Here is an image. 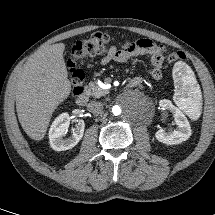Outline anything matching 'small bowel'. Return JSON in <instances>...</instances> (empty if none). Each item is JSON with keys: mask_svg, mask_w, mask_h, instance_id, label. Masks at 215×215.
Here are the masks:
<instances>
[{"mask_svg": "<svg viewBox=\"0 0 215 215\" xmlns=\"http://www.w3.org/2000/svg\"><path fill=\"white\" fill-rule=\"evenodd\" d=\"M149 56L152 64L151 75L153 79L159 81L162 79V66L164 62L163 50L160 46L149 39L128 40L121 47L111 46L106 55L101 58L100 64L107 65L111 61L124 63L131 58L138 56ZM132 80L141 82L140 77Z\"/></svg>", "mask_w": 215, "mask_h": 215, "instance_id": "small-bowel-1", "label": "small bowel"}]
</instances>
